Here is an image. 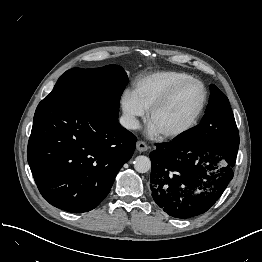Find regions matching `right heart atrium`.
<instances>
[{"instance_id":"d8ad5b80","label":"right heart atrium","mask_w":262,"mask_h":262,"mask_svg":"<svg viewBox=\"0 0 262 262\" xmlns=\"http://www.w3.org/2000/svg\"><path fill=\"white\" fill-rule=\"evenodd\" d=\"M120 106L126 128L136 129L139 119L145 115L146 110L139 104L132 91L125 90L123 92L120 98Z\"/></svg>"}]
</instances>
